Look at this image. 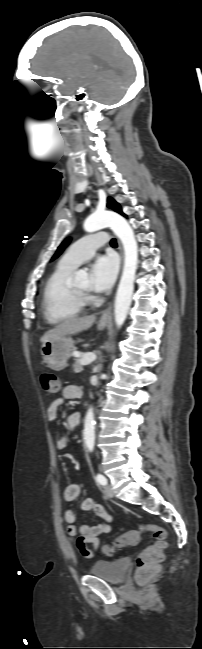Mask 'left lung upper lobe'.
I'll use <instances>...</instances> for the list:
<instances>
[{
	"label": "left lung upper lobe",
	"mask_w": 202,
	"mask_h": 649,
	"mask_svg": "<svg viewBox=\"0 0 202 649\" xmlns=\"http://www.w3.org/2000/svg\"><path fill=\"white\" fill-rule=\"evenodd\" d=\"M107 207H108V208H111L112 210H114V211L117 212V213H120V214L123 215V216H126V215L122 212V209H121L120 205H119V204H118V203H117L113 198H111V197L108 198ZM69 241H70V238H68V239H66L65 241L62 242V244L58 247V249H57L55 255H54L53 258H52V260L55 259V258H57V257L62 253V251L64 250V248L68 245Z\"/></svg>",
	"instance_id": "left-lung-upper-lobe-1"
}]
</instances>
